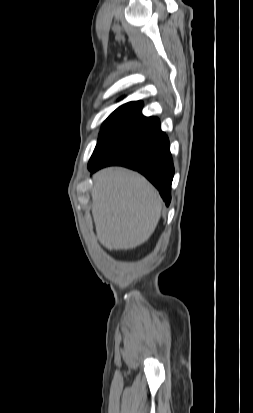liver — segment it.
<instances>
[{
    "mask_svg": "<svg viewBox=\"0 0 253 413\" xmlns=\"http://www.w3.org/2000/svg\"><path fill=\"white\" fill-rule=\"evenodd\" d=\"M92 215L99 242L108 250L146 242L161 216L157 190L139 173L110 167L94 176Z\"/></svg>",
    "mask_w": 253,
    "mask_h": 413,
    "instance_id": "1",
    "label": "liver"
}]
</instances>
